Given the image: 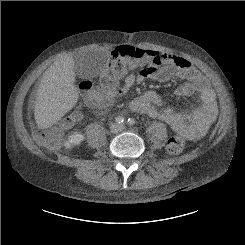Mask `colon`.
<instances>
[{
  "instance_id": "colon-1",
  "label": "colon",
  "mask_w": 245,
  "mask_h": 245,
  "mask_svg": "<svg viewBox=\"0 0 245 245\" xmlns=\"http://www.w3.org/2000/svg\"><path fill=\"white\" fill-rule=\"evenodd\" d=\"M143 58V52L133 45H124L118 57L112 60L110 74L102 76L98 80H87L81 83L82 92L89 96L90 103L96 105L97 101L91 98L96 93L111 94L114 91L113 75L121 74L127 65L136 63ZM160 65L162 62H159ZM78 119L76 113L65 116L58 125L45 128L37 132V141L48 148L56 147L60 144L63 132L71 127ZM185 147V138L182 134L172 135L167 141V150L171 154H179Z\"/></svg>"
}]
</instances>
